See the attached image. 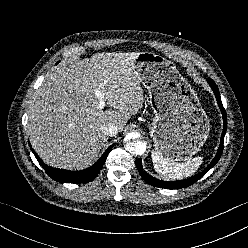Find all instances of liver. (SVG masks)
<instances>
[{"label": "liver", "instance_id": "obj_1", "mask_svg": "<svg viewBox=\"0 0 248 248\" xmlns=\"http://www.w3.org/2000/svg\"><path fill=\"white\" fill-rule=\"evenodd\" d=\"M140 53H96L68 61L49 73L28 111L32 146L50 166L82 169L97 159L108 140L101 127L122 131L131 115L143 107L144 91L135 66ZM109 107L99 108L95 93Z\"/></svg>", "mask_w": 248, "mask_h": 248}]
</instances>
